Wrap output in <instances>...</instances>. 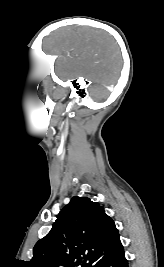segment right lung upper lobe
<instances>
[{
  "mask_svg": "<svg viewBox=\"0 0 164 267\" xmlns=\"http://www.w3.org/2000/svg\"><path fill=\"white\" fill-rule=\"evenodd\" d=\"M114 221L87 197H73L33 248L30 267H94L122 249Z\"/></svg>",
  "mask_w": 164,
  "mask_h": 267,
  "instance_id": "obj_1",
  "label": "right lung upper lobe"
}]
</instances>
